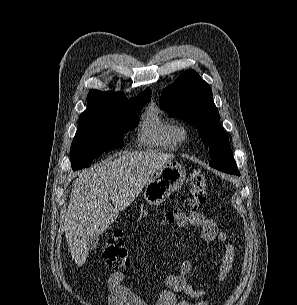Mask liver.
Returning <instances> with one entry per match:
<instances>
[{"instance_id": "liver-1", "label": "liver", "mask_w": 297, "mask_h": 305, "mask_svg": "<svg viewBox=\"0 0 297 305\" xmlns=\"http://www.w3.org/2000/svg\"><path fill=\"white\" fill-rule=\"evenodd\" d=\"M173 158L172 154L154 150L126 152L103 161L73 182L64 231L77 266L88 257L85 236L106 231L119 211L128 207L153 175Z\"/></svg>"}]
</instances>
